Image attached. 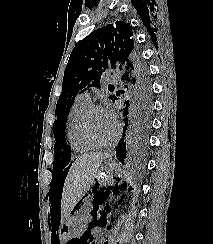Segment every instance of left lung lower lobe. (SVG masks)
<instances>
[{
    "label": "left lung lower lobe",
    "mask_w": 213,
    "mask_h": 244,
    "mask_svg": "<svg viewBox=\"0 0 213 244\" xmlns=\"http://www.w3.org/2000/svg\"><path fill=\"white\" fill-rule=\"evenodd\" d=\"M125 119L124 131H127L128 141L121 139L119 146L116 147L118 159L124 163L127 148L135 154H142L148 146V137L151 126V113L144 109L133 108L126 105L123 109ZM124 137V136H123Z\"/></svg>",
    "instance_id": "0a47b994"
}]
</instances>
